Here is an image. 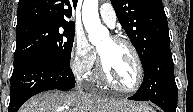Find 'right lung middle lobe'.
<instances>
[{"mask_svg":"<svg viewBox=\"0 0 193 112\" xmlns=\"http://www.w3.org/2000/svg\"><path fill=\"white\" fill-rule=\"evenodd\" d=\"M74 34L75 25L64 23H37L16 29L14 65L38 55L70 65Z\"/></svg>","mask_w":193,"mask_h":112,"instance_id":"dd1d6c3e","label":"right lung middle lobe"}]
</instances>
